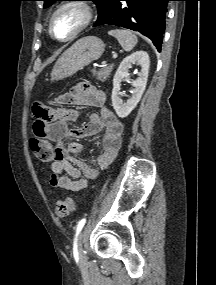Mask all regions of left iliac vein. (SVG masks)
Here are the masks:
<instances>
[{
  "label": "left iliac vein",
  "mask_w": 216,
  "mask_h": 285,
  "mask_svg": "<svg viewBox=\"0 0 216 285\" xmlns=\"http://www.w3.org/2000/svg\"><path fill=\"white\" fill-rule=\"evenodd\" d=\"M83 238H84V233L81 232L79 237H78V245H77L78 246V252H79V255L81 258L84 256L83 247H82Z\"/></svg>",
  "instance_id": "1"
}]
</instances>
